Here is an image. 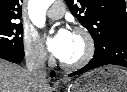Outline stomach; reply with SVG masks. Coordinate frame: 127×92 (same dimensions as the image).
<instances>
[{"label":"stomach","mask_w":127,"mask_h":92,"mask_svg":"<svg viewBox=\"0 0 127 92\" xmlns=\"http://www.w3.org/2000/svg\"><path fill=\"white\" fill-rule=\"evenodd\" d=\"M68 92H127V71L104 66L76 79Z\"/></svg>","instance_id":"0dacf381"}]
</instances>
